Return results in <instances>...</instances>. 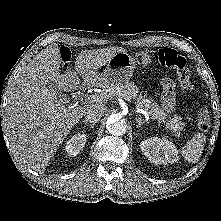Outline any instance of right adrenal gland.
<instances>
[{
	"label": "right adrenal gland",
	"mask_w": 221,
	"mask_h": 221,
	"mask_svg": "<svg viewBox=\"0 0 221 221\" xmlns=\"http://www.w3.org/2000/svg\"><path fill=\"white\" fill-rule=\"evenodd\" d=\"M82 123H84L85 125L90 126V128H94V125H95V124L88 123L86 120L82 121Z\"/></svg>",
	"instance_id": "2a0ac1e0"
}]
</instances>
